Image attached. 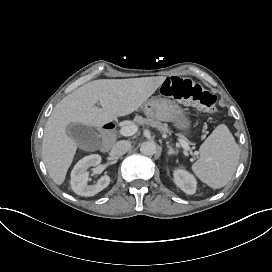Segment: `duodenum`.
<instances>
[{
	"label": "duodenum",
	"instance_id": "410a0bca",
	"mask_svg": "<svg viewBox=\"0 0 272 272\" xmlns=\"http://www.w3.org/2000/svg\"><path fill=\"white\" fill-rule=\"evenodd\" d=\"M103 143L101 150L107 151L115 139V124L113 122H106L102 126Z\"/></svg>",
	"mask_w": 272,
	"mask_h": 272
}]
</instances>
